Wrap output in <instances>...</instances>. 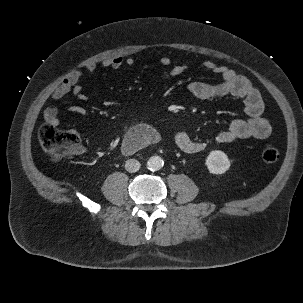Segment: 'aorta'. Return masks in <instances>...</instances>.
<instances>
[{
    "label": "aorta",
    "instance_id": "obj_1",
    "mask_svg": "<svg viewBox=\"0 0 303 303\" xmlns=\"http://www.w3.org/2000/svg\"><path fill=\"white\" fill-rule=\"evenodd\" d=\"M164 165V161L160 156H152L147 161V167L151 171L160 170Z\"/></svg>",
    "mask_w": 303,
    "mask_h": 303
}]
</instances>
